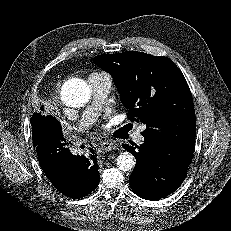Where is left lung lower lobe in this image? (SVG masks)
Wrapping results in <instances>:
<instances>
[{"label": "left lung lower lobe", "instance_id": "obj_1", "mask_svg": "<svg viewBox=\"0 0 231 231\" xmlns=\"http://www.w3.org/2000/svg\"><path fill=\"white\" fill-rule=\"evenodd\" d=\"M123 147L136 158L130 175V185L135 194L147 200H158L173 193L187 175L193 157L194 144L172 146L160 139L145 138L139 147Z\"/></svg>", "mask_w": 231, "mask_h": 231}]
</instances>
